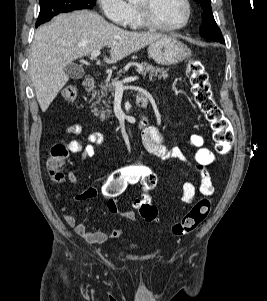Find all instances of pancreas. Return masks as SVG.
<instances>
[{
  "instance_id": "obj_1",
  "label": "pancreas",
  "mask_w": 267,
  "mask_h": 301,
  "mask_svg": "<svg viewBox=\"0 0 267 301\" xmlns=\"http://www.w3.org/2000/svg\"><path fill=\"white\" fill-rule=\"evenodd\" d=\"M130 65H134L137 67L138 72H140L142 75H146L147 73H149V80L152 81L153 77H158V79L161 78H167L168 77V70L164 69V68H160V67H155L153 65L148 64L147 62H143V63H130L128 64V66ZM121 73H123L122 70L119 71L118 73V77L115 78L112 82L110 81H105L104 83L100 84V90L99 91H95L93 93V97L98 96V99L96 102H94L92 104L93 106V112L94 114H100V120L104 121L106 119L107 116H109L111 114V110L109 109L110 106L107 105L106 100L107 97L109 95V93H113L114 89H115V82H117L118 78L121 76ZM100 103H103L107 109H99L96 106L99 105Z\"/></svg>"
}]
</instances>
